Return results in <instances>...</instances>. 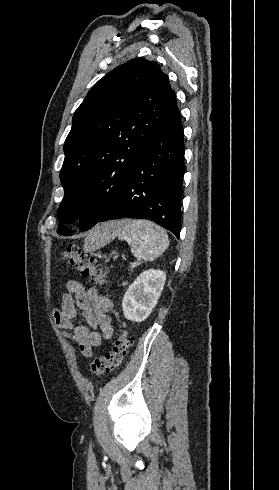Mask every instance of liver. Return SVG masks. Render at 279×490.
I'll return each mask as SVG.
<instances>
[{
	"mask_svg": "<svg viewBox=\"0 0 279 490\" xmlns=\"http://www.w3.org/2000/svg\"><path fill=\"white\" fill-rule=\"evenodd\" d=\"M95 230H99V234H112L114 230H118V224L117 222H106V224H101V226H96ZM90 238H93L92 234L86 238L85 242V250L87 252H90V250H93L94 244L93 240H90Z\"/></svg>",
	"mask_w": 279,
	"mask_h": 490,
	"instance_id": "liver-1",
	"label": "liver"
}]
</instances>
